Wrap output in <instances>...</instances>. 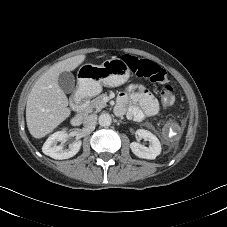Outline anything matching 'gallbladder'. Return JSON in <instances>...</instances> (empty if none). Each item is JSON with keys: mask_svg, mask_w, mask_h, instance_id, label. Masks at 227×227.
<instances>
[{"mask_svg": "<svg viewBox=\"0 0 227 227\" xmlns=\"http://www.w3.org/2000/svg\"><path fill=\"white\" fill-rule=\"evenodd\" d=\"M59 87L65 93H71L75 88V78L71 72H62L58 76Z\"/></svg>", "mask_w": 227, "mask_h": 227, "instance_id": "gallbladder-1", "label": "gallbladder"}]
</instances>
